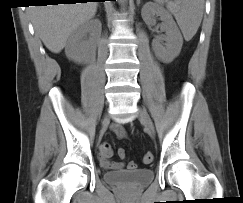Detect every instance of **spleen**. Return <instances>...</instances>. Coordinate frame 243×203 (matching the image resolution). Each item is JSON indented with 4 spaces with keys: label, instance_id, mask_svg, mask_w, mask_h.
<instances>
[{
    "label": "spleen",
    "instance_id": "1",
    "mask_svg": "<svg viewBox=\"0 0 243 203\" xmlns=\"http://www.w3.org/2000/svg\"><path fill=\"white\" fill-rule=\"evenodd\" d=\"M159 4L166 3V7L175 17L186 41L196 34L204 10V0H155Z\"/></svg>",
    "mask_w": 243,
    "mask_h": 203
}]
</instances>
